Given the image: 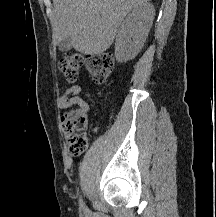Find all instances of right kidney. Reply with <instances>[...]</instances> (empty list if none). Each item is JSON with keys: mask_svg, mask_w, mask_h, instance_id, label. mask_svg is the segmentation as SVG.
<instances>
[{"mask_svg": "<svg viewBox=\"0 0 216 217\" xmlns=\"http://www.w3.org/2000/svg\"><path fill=\"white\" fill-rule=\"evenodd\" d=\"M155 16L152 4L145 3L133 9L116 35L115 57L119 62L133 59L143 47Z\"/></svg>", "mask_w": 216, "mask_h": 217, "instance_id": "right-kidney-1", "label": "right kidney"}]
</instances>
